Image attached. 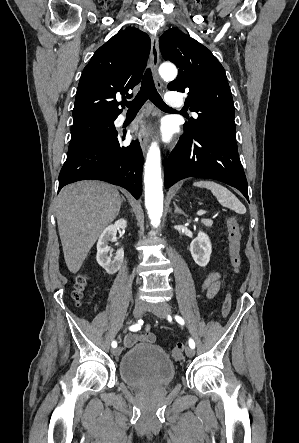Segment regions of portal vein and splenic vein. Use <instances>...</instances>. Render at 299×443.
<instances>
[{
  "label": "portal vein and splenic vein",
  "instance_id": "obj_1",
  "mask_svg": "<svg viewBox=\"0 0 299 443\" xmlns=\"http://www.w3.org/2000/svg\"><path fill=\"white\" fill-rule=\"evenodd\" d=\"M205 213H206V211H204V210H200V211L197 212V215H198V216H202V215H204Z\"/></svg>",
  "mask_w": 299,
  "mask_h": 443
}]
</instances>
